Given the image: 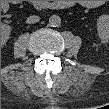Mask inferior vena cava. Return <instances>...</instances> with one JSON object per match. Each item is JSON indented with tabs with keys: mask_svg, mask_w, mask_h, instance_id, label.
Returning <instances> with one entry per match:
<instances>
[{
	"mask_svg": "<svg viewBox=\"0 0 109 109\" xmlns=\"http://www.w3.org/2000/svg\"><path fill=\"white\" fill-rule=\"evenodd\" d=\"M40 20V17L39 16H36V15H33V16H29L26 20V22L28 24H33V23H36Z\"/></svg>",
	"mask_w": 109,
	"mask_h": 109,
	"instance_id": "602c4592",
	"label": "inferior vena cava"
}]
</instances>
